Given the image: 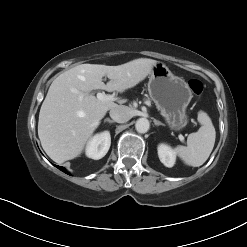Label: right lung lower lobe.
I'll return each mask as SVG.
<instances>
[{
  "mask_svg": "<svg viewBox=\"0 0 247 247\" xmlns=\"http://www.w3.org/2000/svg\"><path fill=\"white\" fill-rule=\"evenodd\" d=\"M56 167H57L58 169H60L61 171L67 173L66 170H65L63 167H61V166H56ZM67 174H68V173H67Z\"/></svg>",
  "mask_w": 247,
  "mask_h": 247,
  "instance_id": "obj_1",
  "label": "right lung lower lobe"
}]
</instances>
